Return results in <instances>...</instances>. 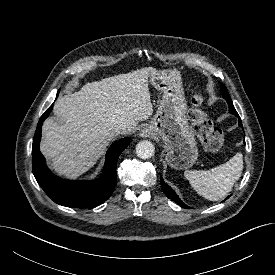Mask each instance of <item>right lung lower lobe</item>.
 I'll use <instances>...</instances> for the list:
<instances>
[{"label": "right lung lower lobe", "instance_id": "obj_1", "mask_svg": "<svg viewBox=\"0 0 275 275\" xmlns=\"http://www.w3.org/2000/svg\"><path fill=\"white\" fill-rule=\"evenodd\" d=\"M58 96V95H57ZM57 98V97H56ZM53 105L40 117L32 145L33 174L45 193L55 202L72 208H94L112 194L116 186V165L121 152L130 144V138H123L108 149L102 176L97 180L73 181L61 179L47 168L45 158L39 150L41 127L49 116Z\"/></svg>", "mask_w": 275, "mask_h": 275}]
</instances>
